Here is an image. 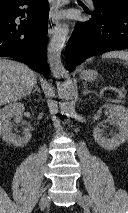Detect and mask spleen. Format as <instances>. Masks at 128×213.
Listing matches in <instances>:
<instances>
[{
    "label": "spleen",
    "mask_w": 128,
    "mask_h": 213,
    "mask_svg": "<svg viewBox=\"0 0 128 213\" xmlns=\"http://www.w3.org/2000/svg\"><path fill=\"white\" fill-rule=\"evenodd\" d=\"M102 58H119L128 62V51H111L104 53Z\"/></svg>",
    "instance_id": "1"
}]
</instances>
